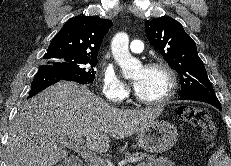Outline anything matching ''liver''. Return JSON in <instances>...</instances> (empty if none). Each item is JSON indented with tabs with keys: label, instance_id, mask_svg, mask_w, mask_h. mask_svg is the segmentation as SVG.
<instances>
[{
	"label": "liver",
	"instance_id": "obj_1",
	"mask_svg": "<svg viewBox=\"0 0 231 166\" xmlns=\"http://www.w3.org/2000/svg\"><path fill=\"white\" fill-rule=\"evenodd\" d=\"M162 112V107L118 109L86 86L60 81L18 112L9 128L7 166H54L68 156L61 139L84 137L89 150L105 153L110 137H129Z\"/></svg>",
	"mask_w": 231,
	"mask_h": 166
}]
</instances>
